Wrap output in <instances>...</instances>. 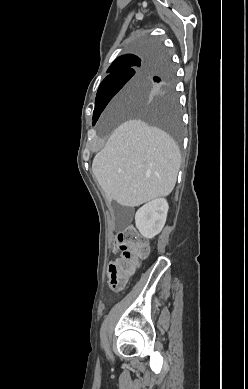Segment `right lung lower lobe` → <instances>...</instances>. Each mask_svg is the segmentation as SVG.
<instances>
[{"instance_id": "1", "label": "right lung lower lobe", "mask_w": 248, "mask_h": 389, "mask_svg": "<svg viewBox=\"0 0 248 389\" xmlns=\"http://www.w3.org/2000/svg\"><path fill=\"white\" fill-rule=\"evenodd\" d=\"M165 51L161 48L157 54L164 53ZM162 61V60H161Z\"/></svg>"}]
</instances>
